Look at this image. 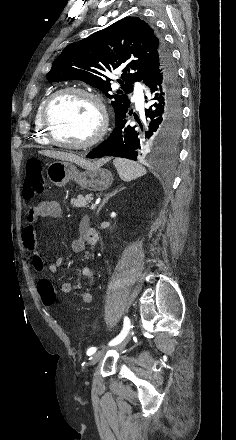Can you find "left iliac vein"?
<instances>
[{
  "instance_id": "obj_1",
  "label": "left iliac vein",
  "mask_w": 236,
  "mask_h": 440,
  "mask_svg": "<svg viewBox=\"0 0 236 440\" xmlns=\"http://www.w3.org/2000/svg\"><path fill=\"white\" fill-rule=\"evenodd\" d=\"M130 338H131V332H128L125 338L116 346V350H122L130 340ZM104 354H105L104 351L96 352L91 357L90 364L91 365L96 364L104 356Z\"/></svg>"
}]
</instances>
